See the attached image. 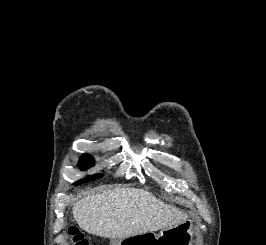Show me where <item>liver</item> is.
Returning <instances> with one entry per match:
<instances>
[{"mask_svg": "<svg viewBox=\"0 0 266 245\" xmlns=\"http://www.w3.org/2000/svg\"><path fill=\"white\" fill-rule=\"evenodd\" d=\"M80 229L106 239H127L176 227L187 217L158 201L152 193L133 187H115L78 201L72 209Z\"/></svg>", "mask_w": 266, "mask_h": 245, "instance_id": "obj_1", "label": "liver"}]
</instances>
